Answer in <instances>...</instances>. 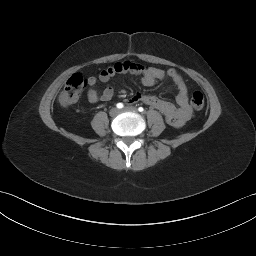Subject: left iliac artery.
<instances>
[{"label":"left iliac artery","mask_w":256,"mask_h":256,"mask_svg":"<svg viewBox=\"0 0 256 256\" xmlns=\"http://www.w3.org/2000/svg\"><path fill=\"white\" fill-rule=\"evenodd\" d=\"M138 111H139V112H144V108H143V107H139V108H138Z\"/></svg>","instance_id":"1"}]
</instances>
